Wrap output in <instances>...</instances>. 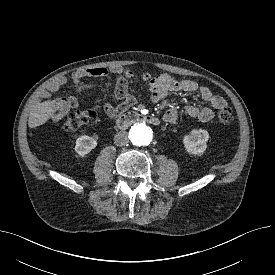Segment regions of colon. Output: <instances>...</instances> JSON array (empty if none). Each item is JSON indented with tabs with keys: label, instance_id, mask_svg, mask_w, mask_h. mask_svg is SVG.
I'll list each match as a JSON object with an SVG mask.
<instances>
[{
	"label": "colon",
	"instance_id": "1",
	"mask_svg": "<svg viewBox=\"0 0 275 275\" xmlns=\"http://www.w3.org/2000/svg\"><path fill=\"white\" fill-rule=\"evenodd\" d=\"M97 116V109L74 110L70 112L64 120L63 128L66 131H76ZM218 120L222 124H230L233 121V113L229 107H223L218 112Z\"/></svg>",
	"mask_w": 275,
	"mask_h": 275
}]
</instances>
